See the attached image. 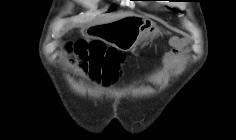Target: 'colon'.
<instances>
[{
    "instance_id": "colon-1",
    "label": "colon",
    "mask_w": 236,
    "mask_h": 140,
    "mask_svg": "<svg viewBox=\"0 0 236 140\" xmlns=\"http://www.w3.org/2000/svg\"><path fill=\"white\" fill-rule=\"evenodd\" d=\"M68 50L83 59V65L87 69L98 76H103L105 80L118 77L122 57L115 49L107 47L102 41L78 40L68 45Z\"/></svg>"
}]
</instances>
